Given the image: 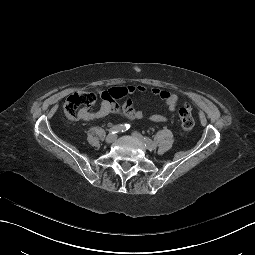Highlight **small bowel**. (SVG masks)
<instances>
[{
  "label": "small bowel",
  "mask_w": 255,
  "mask_h": 255,
  "mask_svg": "<svg viewBox=\"0 0 255 255\" xmlns=\"http://www.w3.org/2000/svg\"><path fill=\"white\" fill-rule=\"evenodd\" d=\"M126 89L129 92H144L146 91V88L143 86H128ZM151 93L154 96L159 97L163 102L164 105L169 109V111H175L179 104V96L176 93H173L166 89H161L158 87L151 88ZM106 91L100 92L101 94V102L99 109L93 112H84L81 116V119L90 121L95 119H100L109 115H119L126 119H148L152 122H166L168 121V118L166 116L160 115V114H152V115H146L142 110L135 109L133 106V102L129 98H125V100L122 103V106L119 107L117 103L111 99L108 98L105 95Z\"/></svg>",
  "instance_id": "1"
}]
</instances>
